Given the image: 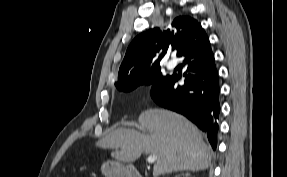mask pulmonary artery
<instances>
[{
  "label": "pulmonary artery",
  "instance_id": "e3ab8cb5",
  "mask_svg": "<svg viewBox=\"0 0 287 177\" xmlns=\"http://www.w3.org/2000/svg\"><path fill=\"white\" fill-rule=\"evenodd\" d=\"M167 67H168L169 69L175 68V67H176V62L173 61V60H170V61L167 63Z\"/></svg>",
  "mask_w": 287,
  "mask_h": 177
}]
</instances>
